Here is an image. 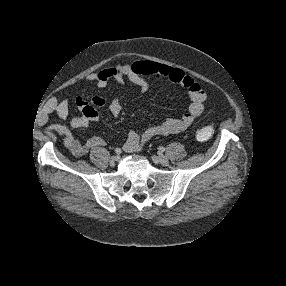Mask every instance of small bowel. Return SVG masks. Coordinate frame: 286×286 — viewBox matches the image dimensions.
Wrapping results in <instances>:
<instances>
[{
    "mask_svg": "<svg viewBox=\"0 0 286 286\" xmlns=\"http://www.w3.org/2000/svg\"><path fill=\"white\" fill-rule=\"evenodd\" d=\"M148 77L166 79L183 87L189 97V106L181 117L166 118L158 124L149 126L141 134L131 131L123 145L126 152L139 151L145 143L155 136L175 134L186 130L204 112L206 93L191 76L179 68L151 61H136L132 64H117L92 73L87 76V81L99 88H104L110 80L117 81L121 86H125L126 80H128L140 91L146 92L150 87ZM75 103L80 114L73 116L70 124L74 128H84L99 120L100 115L97 108L104 106L105 100L95 96L89 104L83 98L77 97ZM108 109L113 116H118L122 110L121 98L116 97L109 104ZM49 112L65 119L69 113V104L67 101L53 100L49 104ZM52 130L64 136V147L75 157L83 156L90 147L104 144V140L99 136H91L85 143H82L63 125H53Z\"/></svg>",
    "mask_w": 286,
    "mask_h": 286,
    "instance_id": "small-bowel-1",
    "label": "small bowel"
}]
</instances>
